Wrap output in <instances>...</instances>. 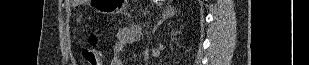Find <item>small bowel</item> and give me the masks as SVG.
<instances>
[{
  "mask_svg": "<svg viewBox=\"0 0 309 65\" xmlns=\"http://www.w3.org/2000/svg\"><path fill=\"white\" fill-rule=\"evenodd\" d=\"M141 34L142 29L139 25H132L121 29L117 34L114 53L110 57L109 65H124L121 57L122 50L128 45L138 42Z\"/></svg>",
  "mask_w": 309,
  "mask_h": 65,
  "instance_id": "c3829d8e",
  "label": "small bowel"
}]
</instances>
